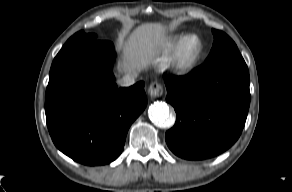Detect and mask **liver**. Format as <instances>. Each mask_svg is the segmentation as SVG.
Returning a JSON list of instances; mask_svg holds the SVG:
<instances>
[{"instance_id": "6515ba94", "label": "liver", "mask_w": 292, "mask_h": 192, "mask_svg": "<svg viewBox=\"0 0 292 192\" xmlns=\"http://www.w3.org/2000/svg\"><path fill=\"white\" fill-rule=\"evenodd\" d=\"M166 27L160 23L138 26L123 43L119 72H139L146 68L165 42Z\"/></svg>"}]
</instances>
